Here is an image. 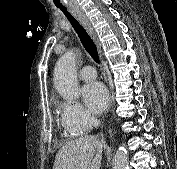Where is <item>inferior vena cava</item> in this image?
Returning <instances> with one entry per match:
<instances>
[{
	"label": "inferior vena cava",
	"instance_id": "obj_1",
	"mask_svg": "<svg viewBox=\"0 0 177 169\" xmlns=\"http://www.w3.org/2000/svg\"><path fill=\"white\" fill-rule=\"evenodd\" d=\"M92 122H93L94 126H96V127L100 125V121L95 117H92Z\"/></svg>",
	"mask_w": 177,
	"mask_h": 169
}]
</instances>
